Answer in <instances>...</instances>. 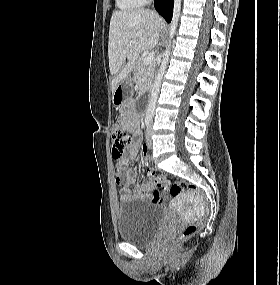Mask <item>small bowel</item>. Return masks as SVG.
I'll return each instance as SVG.
<instances>
[{
    "instance_id": "small-bowel-1",
    "label": "small bowel",
    "mask_w": 280,
    "mask_h": 285,
    "mask_svg": "<svg viewBox=\"0 0 280 285\" xmlns=\"http://www.w3.org/2000/svg\"><path fill=\"white\" fill-rule=\"evenodd\" d=\"M122 123L135 138L139 137L140 121L138 116L134 115L131 118L123 119ZM139 148L140 141L137 139L130 144L128 148V155L117 160L115 182L122 185L119 192V198L121 201H127L131 198H138L149 200L154 204H164L167 201V198L161 195L158 191L154 190V183L152 181L136 184V180L130 177L129 173L125 170V167L136 159ZM143 149L147 150V146L145 144L143 145Z\"/></svg>"
}]
</instances>
